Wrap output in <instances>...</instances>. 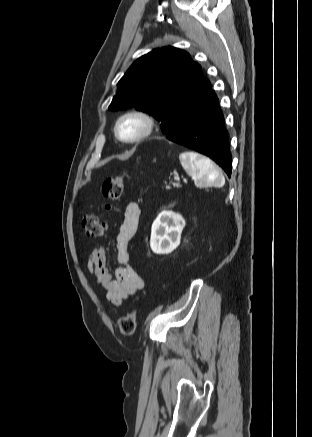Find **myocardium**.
<instances>
[{"label": "myocardium", "mask_w": 312, "mask_h": 437, "mask_svg": "<svg viewBox=\"0 0 312 437\" xmlns=\"http://www.w3.org/2000/svg\"><path fill=\"white\" fill-rule=\"evenodd\" d=\"M130 117H136L141 119L144 122V128L137 136L132 138H125L120 133V126L121 123L126 118H130ZM154 129H155V120L152 117V115H150L148 112L144 110H139V109L129 110L121 114L116 120L114 126V132L118 140L127 144H134L143 141L153 133Z\"/></svg>", "instance_id": "f54148a6"}]
</instances>
